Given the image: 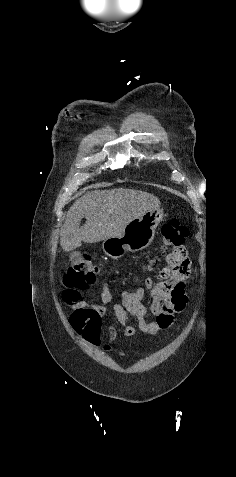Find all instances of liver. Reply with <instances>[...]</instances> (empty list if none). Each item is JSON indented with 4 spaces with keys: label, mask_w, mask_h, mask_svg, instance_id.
Returning a JSON list of instances; mask_svg holds the SVG:
<instances>
[{
    "label": "liver",
    "mask_w": 236,
    "mask_h": 477,
    "mask_svg": "<svg viewBox=\"0 0 236 477\" xmlns=\"http://www.w3.org/2000/svg\"><path fill=\"white\" fill-rule=\"evenodd\" d=\"M160 207L159 199L133 189L95 190L70 207L60 230V245L72 251L81 242L96 243L120 235L134 219ZM86 223L80 227L81 219Z\"/></svg>",
    "instance_id": "liver-1"
}]
</instances>
